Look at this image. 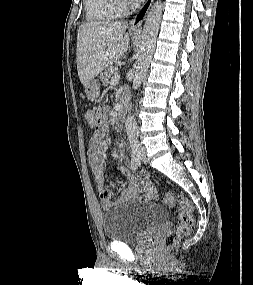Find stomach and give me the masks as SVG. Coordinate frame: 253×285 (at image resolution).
Here are the masks:
<instances>
[{
	"mask_svg": "<svg viewBox=\"0 0 253 285\" xmlns=\"http://www.w3.org/2000/svg\"><path fill=\"white\" fill-rule=\"evenodd\" d=\"M85 93L88 99H95L100 94V83L98 80L91 81L86 87H85Z\"/></svg>",
	"mask_w": 253,
	"mask_h": 285,
	"instance_id": "stomach-1",
	"label": "stomach"
}]
</instances>
